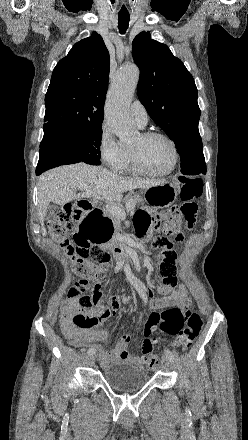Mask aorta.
<instances>
[{
  "label": "aorta",
  "mask_w": 248,
  "mask_h": 440,
  "mask_svg": "<svg viewBox=\"0 0 248 440\" xmlns=\"http://www.w3.org/2000/svg\"><path fill=\"white\" fill-rule=\"evenodd\" d=\"M139 80V69L133 64L125 65L116 74L109 91L106 119L112 133L122 143L132 142L137 134L129 115V105Z\"/></svg>",
  "instance_id": "762f6f07"
}]
</instances>
